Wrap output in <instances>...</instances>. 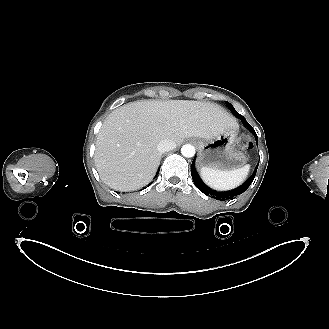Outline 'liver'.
<instances>
[{"mask_svg": "<svg viewBox=\"0 0 329 329\" xmlns=\"http://www.w3.org/2000/svg\"><path fill=\"white\" fill-rule=\"evenodd\" d=\"M219 105L190 100L137 101L112 111L96 141L94 160L101 180L114 190L131 191L154 177L161 153L157 145L187 137L215 138L236 126Z\"/></svg>", "mask_w": 329, "mask_h": 329, "instance_id": "obj_1", "label": "liver"}]
</instances>
